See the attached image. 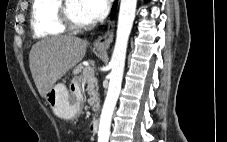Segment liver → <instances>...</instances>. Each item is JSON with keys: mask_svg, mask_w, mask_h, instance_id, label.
Returning a JSON list of instances; mask_svg holds the SVG:
<instances>
[{"mask_svg": "<svg viewBox=\"0 0 227 142\" xmlns=\"http://www.w3.org/2000/svg\"><path fill=\"white\" fill-rule=\"evenodd\" d=\"M86 47V40L67 35L44 38L32 46L30 71L41 97L82 60Z\"/></svg>", "mask_w": 227, "mask_h": 142, "instance_id": "1", "label": "liver"}]
</instances>
